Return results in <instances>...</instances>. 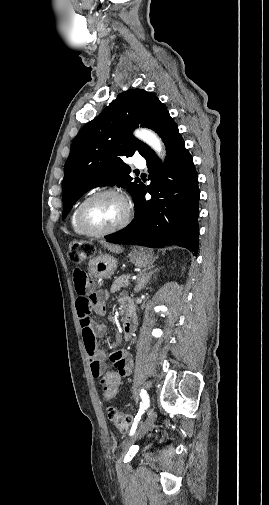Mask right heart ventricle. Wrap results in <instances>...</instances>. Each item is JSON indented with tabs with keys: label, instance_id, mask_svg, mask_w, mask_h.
<instances>
[{
	"label": "right heart ventricle",
	"instance_id": "right-heart-ventricle-1",
	"mask_svg": "<svg viewBox=\"0 0 269 505\" xmlns=\"http://www.w3.org/2000/svg\"><path fill=\"white\" fill-rule=\"evenodd\" d=\"M84 200L80 201L75 207L74 209L72 210L71 212V215H70V226H71V229L73 230V232L77 235H80V236H86L87 234L80 228V226L78 225V222H77V212H78V209L81 205V203L83 202Z\"/></svg>",
	"mask_w": 269,
	"mask_h": 505
}]
</instances>
